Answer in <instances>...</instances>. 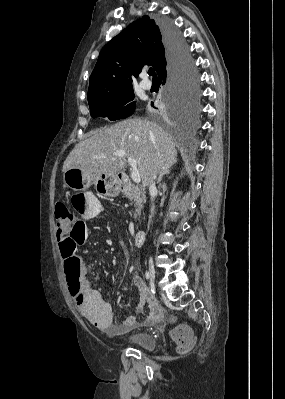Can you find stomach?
<instances>
[{"mask_svg":"<svg viewBox=\"0 0 285 399\" xmlns=\"http://www.w3.org/2000/svg\"><path fill=\"white\" fill-rule=\"evenodd\" d=\"M64 185L74 191H85L94 184L99 194L116 197L121 191L122 181L118 175L91 177L79 168H70L63 173Z\"/></svg>","mask_w":285,"mask_h":399,"instance_id":"stomach-1","label":"stomach"}]
</instances>
